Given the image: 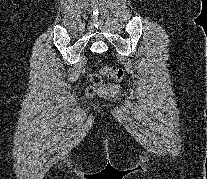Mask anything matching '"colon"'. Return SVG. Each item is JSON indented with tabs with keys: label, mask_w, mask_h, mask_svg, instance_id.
Returning <instances> with one entry per match:
<instances>
[{
	"label": "colon",
	"mask_w": 207,
	"mask_h": 179,
	"mask_svg": "<svg viewBox=\"0 0 207 179\" xmlns=\"http://www.w3.org/2000/svg\"><path fill=\"white\" fill-rule=\"evenodd\" d=\"M101 74L113 79L114 81H121L124 78L125 72L120 67H104L101 69ZM91 82L85 90L86 96L93 97L103 90L102 77L100 74L92 73L89 75Z\"/></svg>",
	"instance_id": "obj_1"
}]
</instances>
